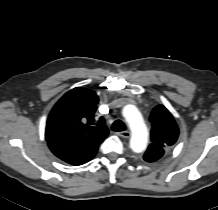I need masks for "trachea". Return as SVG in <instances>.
<instances>
[{
  "mask_svg": "<svg viewBox=\"0 0 218 210\" xmlns=\"http://www.w3.org/2000/svg\"><path fill=\"white\" fill-rule=\"evenodd\" d=\"M111 129L115 132H121V131H124L126 130V126L124 124L123 121L121 120H116L114 121V123L112 124V127Z\"/></svg>",
  "mask_w": 218,
  "mask_h": 210,
  "instance_id": "obj_1",
  "label": "trachea"
}]
</instances>
